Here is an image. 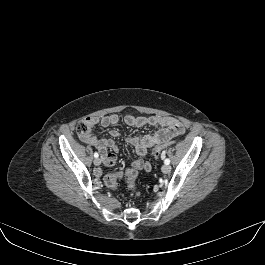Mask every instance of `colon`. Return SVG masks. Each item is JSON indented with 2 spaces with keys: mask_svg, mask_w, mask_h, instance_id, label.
Masks as SVG:
<instances>
[{
  "mask_svg": "<svg viewBox=\"0 0 265 265\" xmlns=\"http://www.w3.org/2000/svg\"><path fill=\"white\" fill-rule=\"evenodd\" d=\"M77 132H78V135L81 137H88L92 134L91 126L87 120H82L78 123ZM170 144H171L170 142H166V143L156 146L152 152L153 156L155 158H158L160 156L162 157L165 154L166 148L170 146ZM137 175L138 173L136 169L129 168L124 171H119V172L107 175L105 177V183L110 189L116 190L119 186L118 180L122 177H126L128 188L132 192H136L135 182L137 179Z\"/></svg>",
  "mask_w": 265,
  "mask_h": 265,
  "instance_id": "colon-1",
  "label": "colon"
}]
</instances>
